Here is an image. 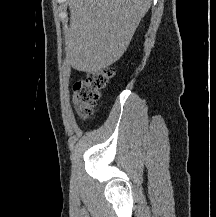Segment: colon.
Returning a JSON list of instances; mask_svg holds the SVG:
<instances>
[{
    "instance_id": "obj_1",
    "label": "colon",
    "mask_w": 216,
    "mask_h": 217,
    "mask_svg": "<svg viewBox=\"0 0 216 217\" xmlns=\"http://www.w3.org/2000/svg\"><path fill=\"white\" fill-rule=\"evenodd\" d=\"M113 75L114 71L110 68L92 71L85 80L75 84L73 100L79 118L85 120L91 116L100 91L107 86Z\"/></svg>"
}]
</instances>
